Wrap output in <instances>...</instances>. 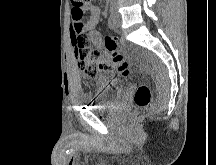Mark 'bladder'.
<instances>
[{
    "label": "bladder",
    "mask_w": 216,
    "mask_h": 165,
    "mask_svg": "<svg viewBox=\"0 0 216 165\" xmlns=\"http://www.w3.org/2000/svg\"><path fill=\"white\" fill-rule=\"evenodd\" d=\"M94 81H85L88 90V106L92 111H111V103L123 97L122 76H94Z\"/></svg>",
    "instance_id": "31cf9c89"
}]
</instances>
